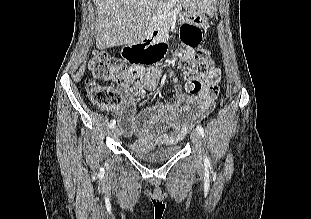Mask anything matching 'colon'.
Instances as JSON below:
<instances>
[{
    "instance_id": "1",
    "label": "colon",
    "mask_w": 311,
    "mask_h": 219,
    "mask_svg": "<svg viewBox=\"0 0 311 219\" xmlns=\"http://www.w3.org/2000/svg\"><path fill=\"white\" fill-rule=\"evenodd\" d=\"M182 40L191 44H198L200 32L197 27L185 25L182 28ZM165 52V48H160L154 53L131 57L130 59L139 64H151L159 60ZM126 53L127 50H126ZM183 67L196 75H205L212 71V61L208 51H199L191 60L183 61ZM88 68L92 73V78L86 84V93L90 102L97 108H106L116 105L119 101L118 91L113 85L100 84L96 80L116 82L120 87L130 86V72L124 62L120 59L110 57L103 51H95L88 62ZM201 84L193 79L188 83L191 93H198Z\"/></svg>"
}]
</instances>
